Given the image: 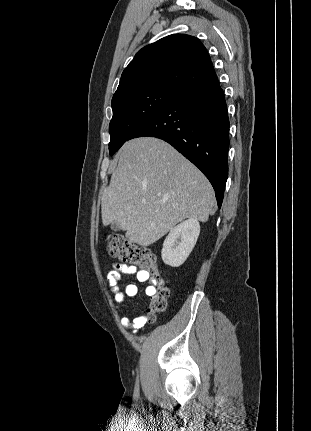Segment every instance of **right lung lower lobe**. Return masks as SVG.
Wrapping results in <instances>:
<instances>
[{"mask_svg":"<svg viewBox=\"0 0 311 431\" xmlns=\"http://www.w3.org/2000/svg\"><path fill=\"white\" fill-rule=\"evenodd\" d=\"M229 118L218 79L182 93L136 128L130 139L160 138L196 165L221 207L228 177Z\"/></svg>","mask_w":311,"mask_h":431,"instance_id":"1","label":"right lung lower lobe"}]
</instances>
